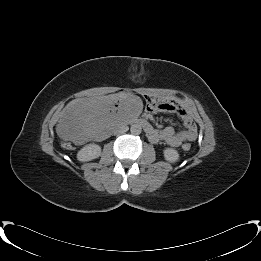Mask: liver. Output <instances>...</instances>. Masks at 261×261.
Instances as JSON below:
<instances>
[{
    "instance_id": "1",
    "label": "liver",
    "mask_w": 261,
    "mask_h": 261,
    "mask_svg": "<svg viewBox=\"0 0 261 261\" xmlns=\"http://www.w3.org/2000/svg\"><path fill=\"white\" fill-rule=\"evenodd\" d=\"M144 106L142 97L132 92L81 99L59 120L56 132L61 139L79 144L106 127H115L121 120L136 119Z\"/></svg>"
}]
</instances>
